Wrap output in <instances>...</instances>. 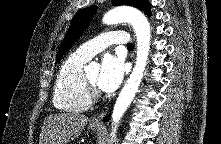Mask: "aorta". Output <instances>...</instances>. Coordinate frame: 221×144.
Returning a JSON list of instances; mask_svg holds the SVG:
<instances>
[{
	"mask_svg": "<svg viewBox=\"0 0 221 144\" xmlns=\"http://www.w3.org/2000/svg\"><path fill=\"white\" fill-rule=\"evenodd\" d=\"M122 22L130 23L135 31L137 38V57L135 66L130 77L127 79L121 90L112 113V132L111 137H115L116 129L123 114L135 97L143 78L144 70L147 65V59L150 51V25L146 17L137 9L132 7H116L108 11L103 17V23L107 25L118 24ZM99 68V64L91 62L86 70Z\"/></svg>",
	"mask_w": 221,
	"mask_h": 144,
	"instance_id": "1",
	"label": "aorta"
}]
</instances>
